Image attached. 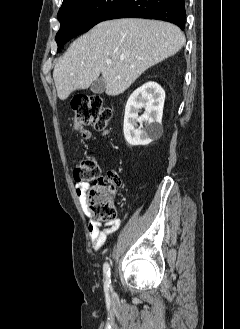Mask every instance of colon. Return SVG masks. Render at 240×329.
<instances>
[{"instance_id":"obj_1","label":"colon","mask_w":240,"mask_h":329,"mask_svg":"<svg viewBox=\"0 0 240 329\" xmlns=\"http://www.w3.org/2000/svg\"><path fill=\"white\" fill-rule=\"evenodd\" d=\"M72 109L75 112L73 127L80 134L87 137L88 126H94L96 130L107 133L111 110L104 105L101 96H78L72 101ZM73 179L77 184H88L93 181V186L85 194L86 207L93 219L103 223L114 221L115 193L120 185L119 175L110 171L107 175L101 176L96 158L86 155L73 169Z\"/></svg>"}]
</instances>
